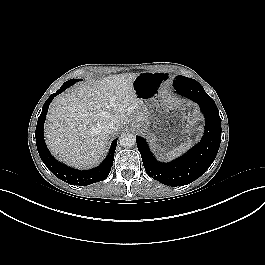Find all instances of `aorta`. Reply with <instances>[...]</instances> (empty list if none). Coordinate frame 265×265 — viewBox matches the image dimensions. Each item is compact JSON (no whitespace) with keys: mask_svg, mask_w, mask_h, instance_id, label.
<instances>
[{"mask_svg":"<svg viewBox=\"0 0 265 265\" xmlns=\"http://www.w3.org/2000/svg\"><path fill=\"white\" fill-rule=\"evenodd\" d=\"M120 145L125 148H130L136 144V138L131 133H123L119 137Z\"/></svg>","mask_w":265,"mask_h":265,"instance_id":"1","label":"aorta"}]
</instances>
